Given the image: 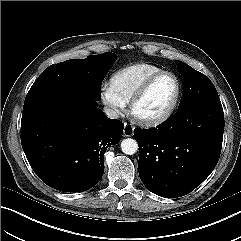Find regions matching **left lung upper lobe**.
Returning <instances> with one entry per match:
<instances>
[{
  "label": "left lung upper lobe",
  "mask_w": 241,
  "mask_h": 241,
  "mask_svg": "<svg viewBox=\"0 0 241 241\" xmlns=\"http://www.w3.org/2000/svg\"><path fill=\"white\" fill-rule=\"evenodd\" d=\"M178 69L184 80L179 108L199 102L221 104L217 90L208 77L181 62H178Z\"/></svg>",
  "instance_id": "obj_1"
}]
</instances>
